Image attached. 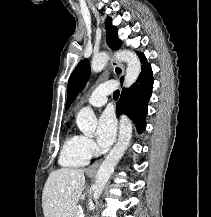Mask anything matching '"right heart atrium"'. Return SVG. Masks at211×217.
Returning <instances> with one entry per match:
<instances>
[{"instance_id": "1", "label": "right heart atrium", "mask_w": 211, "mask_h": 217, "mask_svg": "<svg viewBox=\"0 0 211 217\" xmlns=\"http://www.w3.org/2000/svg\"><path fill=\"white\" fill-rule=\"evenodd\" d=\"M83 146L87 154L92 157L97 154L98 152V147L94 140H92L89 137L83 136Z\"/></svg>"}]
</instances>
